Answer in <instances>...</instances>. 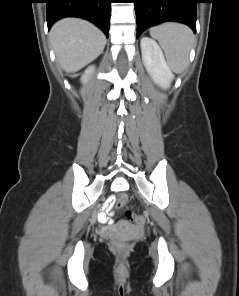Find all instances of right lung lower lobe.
Listing matches in <instances>:
<instances>
[{
  "mask_svg": "<svg viewBox=\"0 0 239 296\" xmlns=\"http://www.w3.org/2000/svg\"><path fill=\"white\" fill-rule=\"evenodd\" d=\"M48 30L59 19L80 17L98 26L108 37L111 0H45Z\"/></svg>",
  "mask_w": 239,
  "mask_h": 296,
  "instance_id": "right-lung-lower-lobe-1",
  "label": "right lung lower lobe"
}]
</instances>
